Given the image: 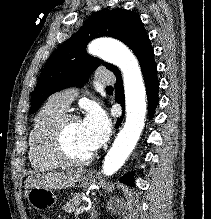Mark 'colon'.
<instances>
[{"label":"colon","instance_id":"obj_1","mask_svg":"<svg viewBox=\"0 0 211 219\" xmlns=\"http://www.w3.org/2000/svg\"><path fill=\"white\" fill-rule=\"evenodd\" d=\"M33 219H49V218L45 215H37Z\"/></svg>","mask_w":211,"mask_h":219}]
</instances>
